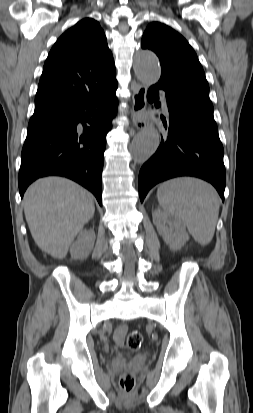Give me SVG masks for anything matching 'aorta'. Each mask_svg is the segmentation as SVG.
<instances>
[{
  "instance_id": "aorta-1",
  "label": "aorta",
  "mask_w": 253,
  "mask_h": 413,
  "mask_svg": "<svg viewBox=\"0 0 253 413\" xmlns=\"http://www.w3.org/2000/svg\"><path fill=\"white\" fill-rule=\"evenodd\" d=\"M135 74L139 80L147 84L158 82L161 74L157 56L149 50H140L134 59ZM160 144L158 131L149 126L142 130L131 144V155L136 163H144L157 150Z\"/></svg>"
}]
</instances>
